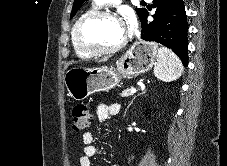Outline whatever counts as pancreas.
<instances>
[{"mask_svg":"<svg viewBox=\"0 0 227 166\" xmlns=\"http://www.w3.org/2000/svg\"><path fill=\"white\" fill-rule=\"evenodd\" d=\"M130 90H131V88L125 89L124 91H122L121 96L122 97H128V96H130L131 95Z\"/></svg>","mask_w":227,"mask_h":166,"instance_id":"cf45deb5","label":"pancreas"}]
</instances>
